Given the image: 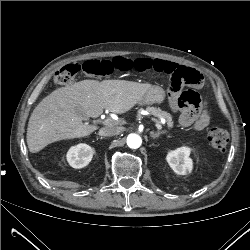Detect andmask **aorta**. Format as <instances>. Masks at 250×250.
I'll list each match as a JSON object with an SVG mask.
<instances>
[{
  "mask_svg": "<svg viewBox=\"0 0 250 250\" xmlns=\"http://www.w3.org/2000/svg\"><path fill=\"white\" fill-rule=\"evenodd\" d=\"M142 139L139 135L137 134H129L127 137V145L132 148L136 149L141 146Z\"/></svg>",
  "mask_w": 250,
  "mask_h": 250,
  "instance_id": "1",
  "label": "aorta"
}]
</instances>
